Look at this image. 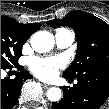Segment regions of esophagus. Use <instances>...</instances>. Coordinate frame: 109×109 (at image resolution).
I'll return each instance as SVG.
<instances>
[{"instance_id": "34e87169", "label": "esophagus", "mask_w": 109, "mask_h": 109, "mask_svg": "<svg viewBox=\"0 0 109 109\" xmlns=\"http://www.w3.org/2000/svg\"><path fill=\"white\" fill-rule=\"evenodd\" d=\"M42 86H43L44 88H46V89H48V88L51 87L50 85H47V84H43Z\"/></svg>"}]
</instances>
